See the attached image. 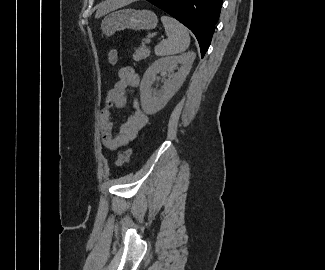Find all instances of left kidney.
Returning a JSON list of instances; mask_svg holds the SVG:
<instances>
[{"instance_id": "5707ae66", "label": "left kidney", "mask_w": 325, "mask_h": 270, "mask_svg": "<svg viewBox=\"0 0 325 270\" xmlns=\"http://www.w3.org/2000/svg\"><path fill=\"white\" fill-rule=\"evenodd\" d=\"M195 57L196 54L189 51L180 56L160 58L146 70L140 84L141 106L146 114H155L166 106L189 74ZM177 65H179L178 71L165 82L161 93L154 96L151 86L155 82L157 74L167 72L172 66Z\"/></svg>"}]
</instances>
